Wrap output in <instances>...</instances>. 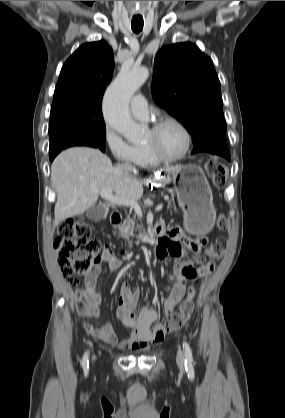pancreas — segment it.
<instances>
[{"mask_svg":"<svg viewBox=\"0 0 285 418\" xmlns=\"http://www.w3.org/2000/svg\"><path fill=\"white\" fill-rule=\"evenodd\" d=\"M169 207H172L170 203H169ZM173 207H174V210H176L175 205H173ZM118 229H119V232H118L119 236L124 238L128 242V244L132 246V241H130L129 239L130 237L134 236L135 230L136 231L142 230V225H137L135 227V218L127 217L123 221V223L118 227Z\"/></svg>","mask_w":285,"mask_h":418,"instance_id":"cf45deb5","label":"pancreas"}]
</instances>
